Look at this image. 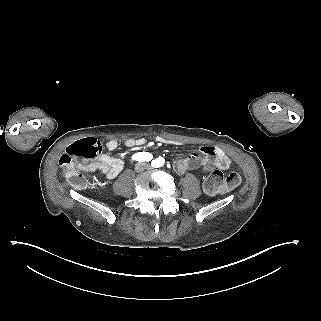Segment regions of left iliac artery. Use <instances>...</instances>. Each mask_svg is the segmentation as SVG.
<instances>
[{
	"label": "left iliac artery",
	"instance_id": "left-iliac-artery-1",
	"mask_svg": "<svg viewBox=\"0 0 321 321\" xmlns=\"http://www.w3.org/2000/svg\"><path fill=\"white\" fill-rule=\"evenodd\" d=\"M163 164H164V159L162 157H158L157 159L152 160V162H151V165L154 168H158V167L162 166Z\"/></svg>",
	"mask_w": 321,
	"mask_h": 321
}]
</instances>
